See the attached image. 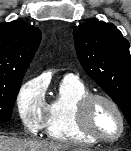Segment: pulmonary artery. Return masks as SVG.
Here are the masks:
<instances>
[{
	"mask_svg": "<svg viewBox=\"0 0 131 151\" xmlns=\"http://www.w3.org/2000/svg\"><path fill=\"white\" fill-rule=\"evenodd\" d=\"M66 76H67V77H75V75L72 74V73H69V74H67Z\"/></svg>",
	"mask_w": 131,
	"mask_h": 151,
	"instance_id": "1",
	"label": "pulmonary artery"
}]
</instances>
